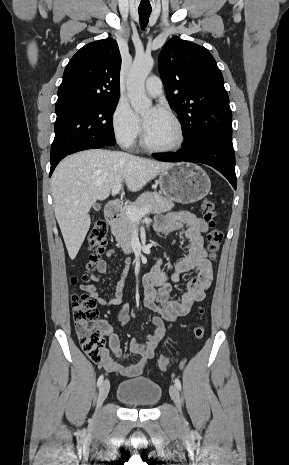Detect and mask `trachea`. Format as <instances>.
<instances>
[{
  "instance_id": "1",
  "label": "trachea",
  "mask_w": 289,
  "mask_h": 465,
  "mask_svg": "<svg viewBox=\"0 0 289 465\" xmlns=\"http://www.w3.org/2000/svg\"><path fill=\"white\" fill-rule=\"evenodd\" d=\"M138 12H139V17H140V25H141L142 29H144L148 24V20H149L150 14H151V10L139 9Z\"/></svg>"
}]
</instances>
